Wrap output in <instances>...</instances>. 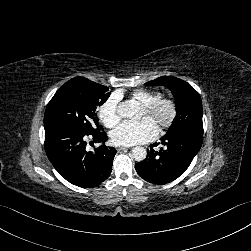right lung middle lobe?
Listing matches in <instances>:
<instances>
[{"label": "right lung middle lobe", "mask_w": 251, "mask_h": 251, "mask_svg": "<svg viewBox=\"0 0 251 251\" xmlns=\"http://www.w3.org/2000/svg\"><path fill=\"white\" fill-rule=\"evenodd\" d=\"M109 89L84 77H76L55 93L48 103L44 126L49 124H64L85 133L101 129L95 110L110 96Z\"/></svg>", "instance_id": "obj_1"}]
</instances>
